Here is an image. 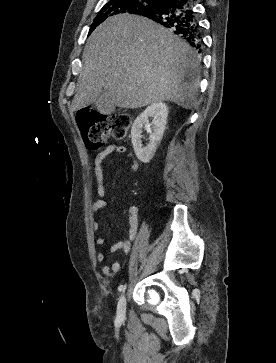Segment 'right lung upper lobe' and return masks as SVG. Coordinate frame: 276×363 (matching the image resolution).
Masks as SVG:
<instances>
[{"label": "right lung upper lobe", "mask_w": 276, "mask_h": 363, "mask_svg": "<svg viewBox=\"0 0 276 363\" xmlns=\"http://www.w3.org/2000/svg\"><path fill=\"white\" fill-rule=\"evenodd\" d=\"M154 1H157V2H159L160 0H154Z\"/></svg>", "instance_id": "obj_1"}]
</instances>
